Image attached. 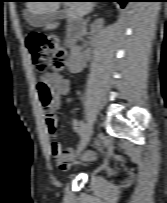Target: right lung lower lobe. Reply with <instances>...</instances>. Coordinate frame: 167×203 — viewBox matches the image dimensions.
<instances>
[{
	"mask_svg": "<svg viewBox=\"0 0 167 203\" xmlns=\"http://www.w3.org/2000/svg\"><path fill=\"white\" fill-rule=\"evenodd\" d=\"M27 1H33V0H27ZM83 1H90V2H118L120 3L121 7H125V4L127 2H130L131 0H83Z\"/></svg>",
	"mask_w": 167,
	"mask_h": 203,
	"instance_id": "right-lung-lower-lobe-1",
	"label": "right lung lower lobe"
}]
</instances>
